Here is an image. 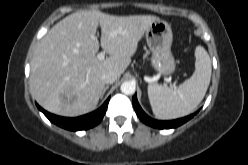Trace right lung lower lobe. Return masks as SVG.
<instances>
[{
  "label": "right lung lower lobe",
  "instance_id": "obj_1",
  "mask_svg": "<svg viewBox=\"0 0 248 165\" xmlns=\"http://www.w3.org/2000/svg\"><path fill=\"white\" fill-rule=\"evenodd\" d=\"M108 102H109V98L98 110L77 118H66V117L56 116L43 110L39 105H37V107L41 112L44 113V115L52 123L68 130L78 131V130H86L99 124L106 112Z\"/></svg>",
  "mask_w": 248,
  "mask_h": 165
}]
</instances>
